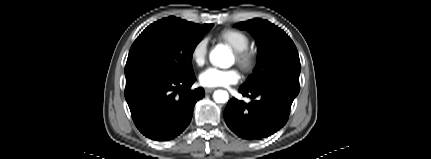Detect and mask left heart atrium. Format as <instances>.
<instances>
[{
  "label": "left heart atrium",
  "mask_w": 431,
  "mask_h": 159,
  "mask_svg": "<svg viewBox=\"0 0 431 159\" xmlns=\"http://www.w3.org/2000/svg\"><path fill=\"white\" fill-rule=\"evenodd\" d=\"M239 79L240 74L236 69L223 70L215 67L204 70L199 76L200 84L208 88L236 84Z\"/></svg>",
  "instance_id": "1"
}]
</instances>
